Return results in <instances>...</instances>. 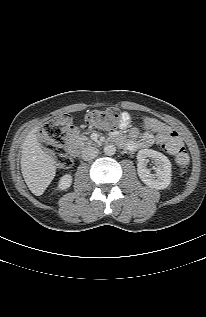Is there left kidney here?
Instances as JSON below:
<instances>
[{"mask_svg": "<svg viewBox=\"0 0 206 317\" xmlns=\"http://www.w3.org/2000/svg\"><path fill=\"white\" fill-rule=\"evenodd\" d=\"M147 158L155 161V174L147 168ZM137 171L143 183L151 188L165 189L171 183V163L161 152L152 149H142L137 154Z\"/></svg>", "mask_w": 206, "mask_h": 317, "instance_id": "1", "label": "left kidney"}]
</instances>
